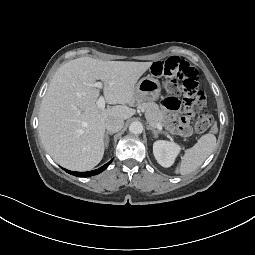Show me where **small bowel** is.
Listing matches in <instances>:
<instances>
[{
	"label": "small bowel",
	"mask_w": 255,
	"mask_h": 255,
	"mask_svg": "<svg viewBox=\"0 0 255 255\" xmlns=\"http://www.w3.org/2000/svg\"><path fill=\"white\" fill-rule=\"evenodd\" d=\"M162 107L170 130L183 136H189L191 134L189 117H184L183 115L178 116V100L175 98H166L162 102Z\"/></svg>",
	"instance_id": "c3829d8e"
}]
</instances>
